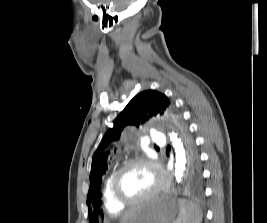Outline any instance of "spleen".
<instances>
[{
    "label": "spleen",
    "instance_id": "spleen-1",
    "mask_svg": "<svg viewBox=\"0 0 267 223\" xmlns=\"http://www.w3.org/2000/svg\"><path fill=\"white\" fill-rule=\"evenodd\" d=\"M179 215L176 223H201L203 213L201 208L190 200L179 199Z\"/></svg>",
    "mask_w": 267,
    "mask_h": 223
}]
</instances>
